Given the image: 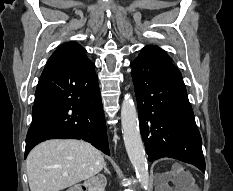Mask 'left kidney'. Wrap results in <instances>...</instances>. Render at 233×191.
Listing matches in <instances>:
<instances>
[{
	"label": "left kidney",
	"instance_id": "obj_1",
	"mask_svg": "<svg viewBox=\"0 0 233 191\" xmlns=\"http://www.w3.org/2000/svg\"><path fill=\"white\" fill-rule=\"evenodd\" d=\"M171 178H172V176H170V175H168V174H167L166 181L171 180ZM173 180L176 182V184H178L179 186H181V181H180V179H179V176H178V175H174ZM165 186H166V188H167V190H166V191H171V189L169 188V186H168V184H167V183L165 184ZM181 188H183V189H185V191H187L185 187H181Z\"/></svg>",
	"mask_w": 233,
	"mask_h": 191
}]
</instances>
